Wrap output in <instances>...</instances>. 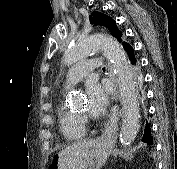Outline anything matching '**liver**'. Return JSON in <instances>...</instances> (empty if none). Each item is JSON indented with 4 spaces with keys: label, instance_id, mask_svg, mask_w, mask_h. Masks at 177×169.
Returning a JSON list of instances; mask_svg holds the SVG:
<instances>
[{
    "label": "liver",
    "instance_id": "6515ba94",
    "mask_svg": "<svg viewBox=\"0 0 177 169\" xmlns=\"http://www.w3.org/2000/svg\"><path fill=\"white\" fill-rule=\"evenodd\" d=\"M98 140L72 144L58 153V169H81Z\"/></svg>",
    "mask_w": 177,
    "mask_h": 169
}]
</instances>
